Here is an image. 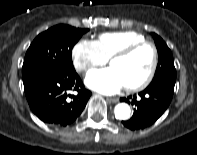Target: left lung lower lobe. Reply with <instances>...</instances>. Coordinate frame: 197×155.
I'll return each mask as SVG.
<instances>
[{"mask_svg": "<svg viewBox=\"0 0 197 155\" xmlns=\"http://www.w3.org/2000/svg\"><path fill=\"white\" fill-rule=\"evenodd\" d=\"M174 93V86L158 83L149 85L137 96L121 98L120 101L136 106L130 120L122 121L131 130L142 129L153 124L167 109Z\"/></svg>", "mask_w": 197, "mask_h": 155, "instance_id": "0a47b994", "label": "left lung lower lobe"}]
</instances>
